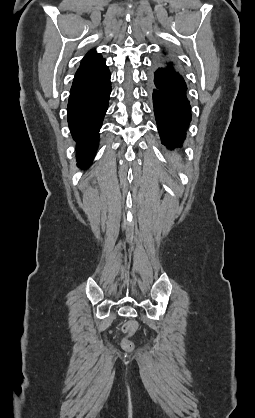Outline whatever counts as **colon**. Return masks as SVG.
I'll use <instances>...</instances> for the list:
<instances>
[{
	"label": "colon",
	"mask_w": 255,
	"mask_h": 418,
	"mask_svg": "<svg viewBox=\"0 0 255 418\" xmlns=\"http://www.w3.org/2000/svg\"><path fill=\"white\" fill-rule=\"evenodd\" d=\"M138 330V324L134 320L127 321L122 326L124 337L121 341L122 348L127 352H132L135 349L134 342L130 339Z\"/></svg>",
	"instance_id": "obj_1"
}]
</instances>
